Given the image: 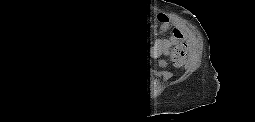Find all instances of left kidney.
<instances>
[{
    "instance_id": "obj_1",
    "label": "left kidney",
    "mask_w": 255,
    "mask_h": 122,
    "mask_svg": "<svg viewBox=\"0 0 255 122\" xmlns=\"http://www.w3.org/2000/svg\"><path fill=\"white\" fill-rule=\"evenodd\" d=\"M165 64L163 61L161 62V65Z\"/></svg>"
}]
</instances>
